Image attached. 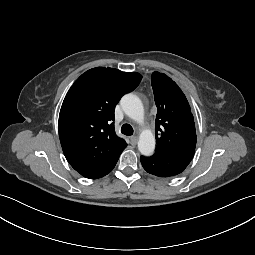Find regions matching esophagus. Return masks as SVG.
<instances>
[{
  "instance_id": "obj_1",
  "label": "esophagus",
  "mask_w": 255,
  "mask_h": 255,
  "mask_svg": "<svg viewBox=\"0 0 255 255\" xmlns=\"http://www.w3.org/2000/svg\"><path fill=\"white\" fill-rule=\"evenodd\" d=\"M137 141H138V137L137 136H131L130 137V143L132 145H136L137 144Z\"/></svg>"
}]
</instances>
